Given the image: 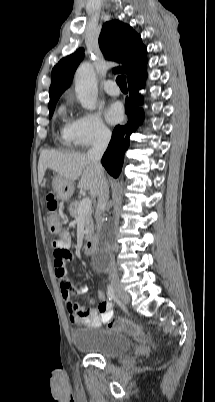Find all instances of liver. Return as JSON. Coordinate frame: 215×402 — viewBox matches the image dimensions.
Listing matches in <instances>:
<instances>
[{
    "instance_id": "1",
    "label": "liver",
    "mask_w": 215,
    "mask_h": 402,
    "mask_svg": "<svg viewBox=\"0 0 215 402\" xmlns=\"http://www.w3.org/2000/svg\"><path fill=\"white\" fill-rule=\"evenodd\" d=\"M47 169L55 171L71 182L80 178L78 187L88 190L94 197L97 196L98 175L86 154L43 150L38 162L39 184H41Z\"/></svg>"
}]
</instances>
